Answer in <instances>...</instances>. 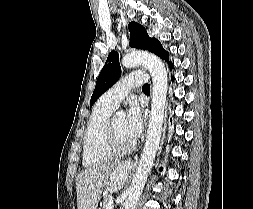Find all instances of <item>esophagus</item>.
Listing matches in <instances>:
<instances>
[{
	"label": "esophagus",
	"instance_id": "esophagus-1",
	"mask_svg": "<svg viewBox=\"0 0 253 209\" xmlns=\"http://www.w3.org/2000/svg\"><path fill=\"white\" fill-rule=\"evenodd\" d=\"M126 163H127V164H132V161H131V160H128Z\"/></svg>",
	"mask_w": 253,
	"mask_h": 209
}]
</instances>
